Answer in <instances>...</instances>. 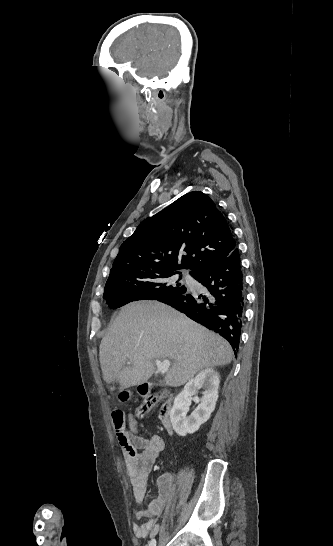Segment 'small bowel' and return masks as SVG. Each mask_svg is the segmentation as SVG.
Wrapping results in <instances>:
<instances>
[{
  "label": "small bowel",
  "mask_w": 333,
  "mask_h": 546,
  "mask_svg": "<svg viewBox=\"0 0 333 546\" xmlns=\"http://www.w3.org/2000/svg\"><path fill=\"white\" fill-rule=\"evenodd\" d=\"M128 424L130 438L136 448V454L129 456L124 451L125 465L131 480L134 501L136 504H140L146 493L150 472L158 456L164 450L165 442L159 435H153L149 438L139 435L136 419L131 414L128 418ZM172 493L173 486L170 476H163L159 480L157 496L151 501L146 510L135 513L138 522L134 524L133 531L137 537L144 538L157 532V519L162 514ZM142 520L143 522H139Z\"/></svg>",
  "instance_id": "obj_1"
}]
</instances>
